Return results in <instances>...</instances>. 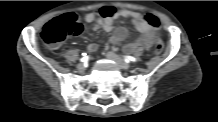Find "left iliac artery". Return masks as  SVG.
<instances>
[{"mask_svg":"<svg viewBox=\"0 0 218 122\" xmlns=\"http://www.w3.org/2000/svg\"><path fill=\"white\" fill-rule=\"evenodd\" d=\"M126 62H136V58L132 56H125Z\"/></svg>","mask_w":218,"mask_h":122,"instance_id":"1","label":"left iliac artery"}]
</instances>
